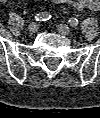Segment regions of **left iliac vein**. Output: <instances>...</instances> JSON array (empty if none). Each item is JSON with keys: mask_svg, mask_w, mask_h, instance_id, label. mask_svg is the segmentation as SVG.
I'll return each instance as SVG.
<instances>
[{"mask_svg": "<svg viewBox=\"0 0 100 118\" xmlns=\"http://www.w3.org/2000/svg\"><path fill=\"white\" fill-rule=\"evenodd\" d=\"M57 31L62 35H68L70 33V27L65 24L57 25Z\"/></svg>", "mask_w": 100, "mask_h": 118, "instance_id": "obj_1", "label": "left iliac vein"}]
</instances>
